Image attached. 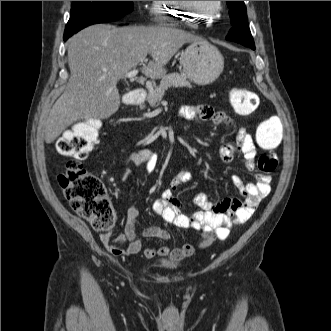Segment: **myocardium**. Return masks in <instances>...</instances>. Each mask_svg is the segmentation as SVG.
I'll return each instance as SVG.
<instances>
[{
	"label": "myocardium",
	"mask_w": 331,
	"mask_h": 331,
	"mask_svg": "<svg viewBox=\"0 0 331 331\" xmlns=\"http://www.w3.org/2000/svg\"><path fill=\"white\" fill-rule=\"evenodd\" d=\"M180 2L182 4H184V6L190 11L191 17H193V18H210V17H213L216 14H218L223 8L222 1H216L215 10L210 13H206V12L202 11L195 4L194 1H180Z\"/></svg>",
	"instance_id": "myocardium-1"
}]
</instances>
